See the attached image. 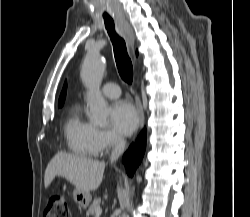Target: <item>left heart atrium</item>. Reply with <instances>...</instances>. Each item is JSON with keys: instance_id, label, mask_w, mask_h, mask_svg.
I'll use <instances>...</instances> for the list:
<instances>
[{"instance_id": "1", "label": "left heart atrium", "mask_w": 250, "mask_h": 217, "mask_svg": "<svg viewBox=\"0 0 250 217\" xmlns=\"http://www.w3.org/2000/svg\"><path fill=\"white\" fill-rule=\"evenodd\" d=\"M110 121L113 129L121 135L132 134L139 122L138 114L128 101H117L110 108Z\"/></svg>"}]
</instances>
